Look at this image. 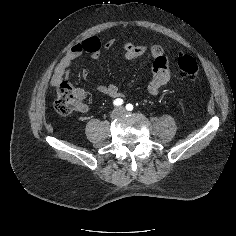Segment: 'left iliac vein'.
Masks as SVG:
<instances>
[{"instance_id":"4c4485c4","label":"left iliac vein","mask_w":236,"mask_h":236,"mask_svg":"<svg viewBox=\"0 0 236 236\" xmlns=\"http://www.w3.org/2000/svg\"><path fill=\"white\" fill-rule=\"evenodd\" d=\"M123 113L125 114L126 113V111L123 109Z\"/></svg>"}]
</instances>
